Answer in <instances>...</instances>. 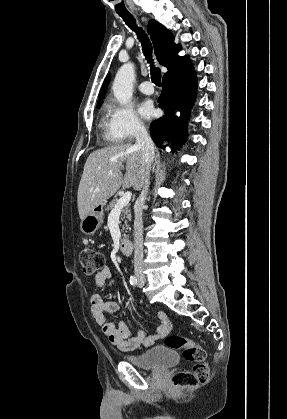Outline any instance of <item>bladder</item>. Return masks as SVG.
<instances>
[{
    "mask_svg": "<svg viewBox=\"0 0 287 419\" xmlns=\"http://www.w3.org/2000/svg\"><path fill=\"white\" fill-rule=\"evenodd\" d=\"M126 359L137 367L148 370H165L179 361L173 349L167 346L152 347L141 354L130 355Z\"/></svg>",
    "mask_w": 287,
    "mask_h": 419,
    "instance_id": "obj_1",
    "label": "bladder"
}]
</instances>
